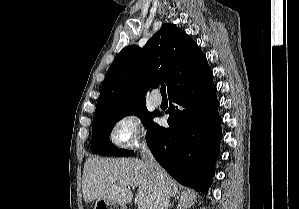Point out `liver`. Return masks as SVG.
Returning a JSON list of instances; mask_svg holds the SVG:
<instances>
[{"mask_svg":"<svg viewBox=\"0 0 299 209\" xmlns=\"http://www.w3.org/2000/svg\"><path fill=\"white\" fill-rule=\"evenodd\" d=\"M169 196L178 193V183L164 171ZM125 182L126 185L120 184ZM131 187H137L138 209H153L157 197L155 177L148 165L135 158H88L84 165L82 192L85 202L103 199L124 206L133 199Z\"/></svg>","mask_w":299,"mask_h":209,"instance_id":"obj_1","label":"liver"}]
</instances>
